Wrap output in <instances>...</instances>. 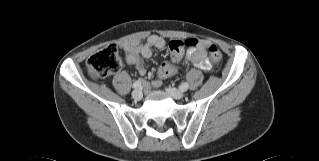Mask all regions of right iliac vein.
Here are the masks:
<instances>
[{
  "mask_svg": "<svg viewBox=\"0 0 319 161\" xmlns=\"http://www.w3.org/2000/svg\"><path fill=\"white\" fill-rule=\"evenodd\" d=\"M132 97L135 99V100H140L142 98V92L140 90H134L132 92Z\"/></svg>",
  "mask_w": 319,
  "mask_h": 161,
  "instance_id": "1",
  "label": "right iliac vein"
}]
</instances>
